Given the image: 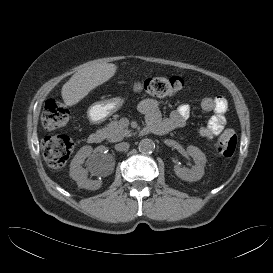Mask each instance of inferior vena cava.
Instances as JSON below:
<instances>
[{
    "instance_id": "602c4592",
    "label": "inferior vena cava",
    "mask_w": 273,
    "mask_h": 273,
    "mask_svg": "<svg viewBox=\"0 0 273 273\" xmlns=\"http://www.w3.org/2000/svg\"><path fill=\"white\" fill-rule=\"evenodd\" d=\"M129 143L128 142H121L115 145V149L117 151H126L129 149Z\"/></svg>"
}]
</instances>
